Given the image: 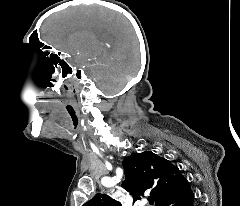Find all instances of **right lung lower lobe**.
<instances>
[{"label":"right lung lower lobe","instance_id":"1","mask_svg":"<svg viewBox=\"0 0 240 206\" xmlns=\"http://www.w3.org/2000/svg\"><path fill=\"white\" fill-rule=\"evenodd\" d=\"M194 195L189 183L177 194L163 200L159 206H193Z\"/></svg>","mask_w":240,"mask_h":206}]
</instances>
